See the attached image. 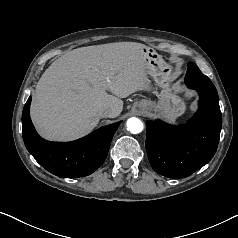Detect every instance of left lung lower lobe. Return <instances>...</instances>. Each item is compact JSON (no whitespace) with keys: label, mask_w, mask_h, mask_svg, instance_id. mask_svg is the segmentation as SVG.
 Masks as SVG:
<instances>
[{"label":"left lung lower lobe","mask_w":238,"mask_h":238,"mask_svg":"<svg viewBox=\"0 0 238 238\" xmlns=\"http://www.w3.org/2000/svg\"><path fill=\"white\" fill-rule=\"evenodd\" d=\"M189 88L199 93V109L182 126L160 120L146 123V150L152 168L170 178H183L207 164L214 156L220 137L222 117L218 94L204 89L195 80Z\"/></svg>","instance_id":"0a47b994"}]
</instances>
